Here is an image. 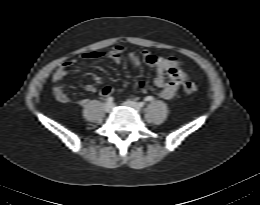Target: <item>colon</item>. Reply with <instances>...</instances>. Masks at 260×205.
<instances>
[{
    "label": "colon",
    "mask_w": 260,
    "mask_h": 205,
    "mask_svg": "<svg viewBox=\"0 0 260 205\" xmlns=\"http://www.w3.org/2000/svg\"><path fill=\"white\" fill-rule=\"evenodd\" d=\"M183 89L186 93L194 94L198 91V86L194 82H186Z\"/></svg>",
    "instance_id": "5ec220e1"
}]
</instances>
